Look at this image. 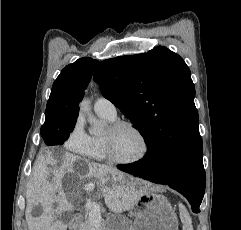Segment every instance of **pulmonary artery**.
<instances>
[{"label":"pulmonary artery","instance_id":"obj_1","mask_svg":"<svg viewBox=\"0 0 241 230\" xmlns=\"http://www.w3.org/2000/svg\"><path fill=\"white\" fill-rule=\"evenodd\" d=\"M94 109L98 114H103L111 118H116L117 111L112 101L105 97H99L94 104Z\"/></svg>","mask_w":241,"mask_h":230}]
</instances>
